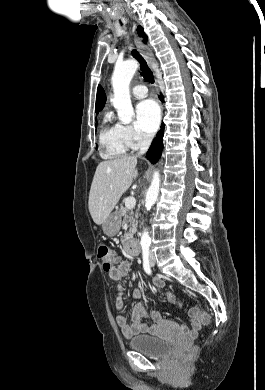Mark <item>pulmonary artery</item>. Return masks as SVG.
Instances as JSON below:
<instances>
[{
	"instance_id": "1",
	"label": "pulmonary artery",
	"mask_w": 265,
	"mask_h": 390,
	"mask_svg": "<svg viewBox=\"0 0 265 390\" xmlns=\"http://www.w3.org/2000/svg\"><path fill=\"white\" fill-rule=\"evenodd\" d=\"M132 94L134 95V97L141 99L147 96L148 89L144 85H136L132 89Z\"/></svg>"
}]
</instances>
